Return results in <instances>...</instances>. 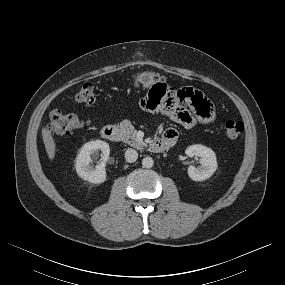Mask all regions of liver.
<instances>
[{"label": "liver", "instance_id": "6515ba94", "mask_svg": "<svg viewBox=\"0 0 285 285\" xmlns=\"http://www.w3.org/2000/svg\"><path fill=\"white\" fill-rule=\"evenodd\" d=\"M42 138H43V142L45 145L47 155L50 160H53L55 157V152H56V144L51 135V132L45 127L42 129Z\"/></svg>", "mask_w": 285, "mask_h": 285}]
</instances>
